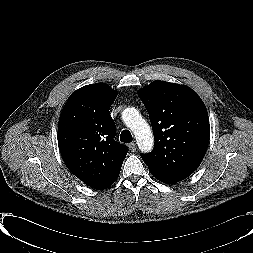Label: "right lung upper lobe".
Returning a JSON list of instances; mask_svg holds the SVG:
<instances>
[{
	"mask_svg": "<svg viewBox=\"0 0 253 253\" xmlns=\"http://www.w3.org/2000/svg\"><path fill=\"white\" fill-rule=\"evenodd\" d=\"M117 92L105 83L86 85L67 100L58 124V145L68 169L91 188L112 185L128 148L115 140L109 109Z\"/></svg>",
	"mask_w": 253,
	"mask_h": 253,
	"instance_id": "1",
	"label": "right lung upper lobe"
}]
</instances>
